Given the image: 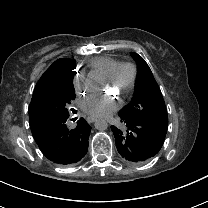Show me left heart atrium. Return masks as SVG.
Instances as JSON below:
<instances>
[{"label":"left heart atrium","instance_id":"1","mask_svg":"<svg viewBox=\"0 0 208 208\" xmlns=\"http://www.w3.org/2000/svg\"><path fill=\"white\" fill-rule=\"evenodd\" d=\"M80 107L86 114L102 117L113 112L116 108V104L110 100L99 99L90 95L81 101Z\"/></svg>","mask_w":208,"mask_h":208}]
</instances>
